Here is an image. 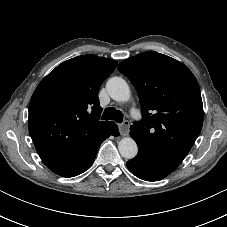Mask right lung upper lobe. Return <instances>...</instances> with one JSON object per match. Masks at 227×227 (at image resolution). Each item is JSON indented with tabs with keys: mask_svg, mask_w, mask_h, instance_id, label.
<instances>
[{
	"mask_svg": "<svg viewBox=\"0 0 227 227\" xmlns=\"http://www.w3.org/2000/svg\"><path fill=\"white\" fill-rule=\"evenodd\" d=\"M117 62L83 55L59 64L39 83L29 105L28 127L42 161L64 175L86 159L115 124L100 121L97 97Z\"/></svg>",
	"mask_w": 227,
	"mask_h": 227,
	"instance_id": "cb5924a9",
	"label": "right lung upper lobe"
}]
</instances>
